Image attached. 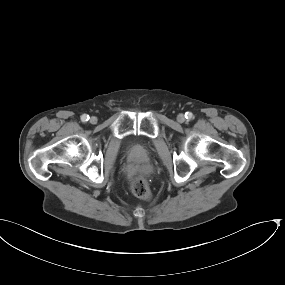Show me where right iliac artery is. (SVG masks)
I'll use <instances>...</instances> for the list:
<instances>
[{
	"label": "right iliac artery",
	"mask_w": 285,
	"mask_h": 285,
	"mask_svg": "<svg viewBox=\"0 0 285 285\" xmlns=\"http://www.w3.org/2000/svg\"><path fill=\"white\" fill-rule=\"evenodd\" d=\"M88 120H89V115L83 114V115L81 116V121H82V122H87Z\"/></svg>",
	"instance_id": "right-iliac-artery-1"
}]
</instances>
